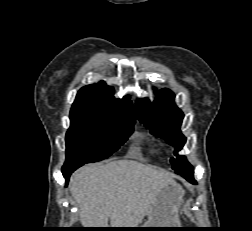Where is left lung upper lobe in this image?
<instances>
[{"mask_svg":"<svg viewBox=\"0 0 252 231\" xmlns=\"http://www.w3.org/2000/svg\"><path fill=\"white\" fill-rule=\"evenodd\" d=\"M174 98L175 95L171 90L162 89L156 94L154 102L150 103L149 100H146L144 104L138 103L135 116L146 127L150 128L152 134L176 146L174 154L177 158H171V163L176 173L181 175L192 172L193 168L185 156L178 155L186 142V138L180 131L184 115L174 103H171Z\"/></svg>","mask_w":252,"mask_h":231,"instance_id":"obj_1","label":"left lung upper lobe"}]
</instances>
